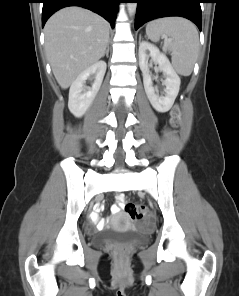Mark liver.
Here are the masks:
<instances>
[{
  "label": "liver",
  "instance_id": "6515ba94",
  "mask_svg": "<svg viewBox=\"0 0 239 296\" xmlns=\"http://www.w3.org/2000/svg\"><path fill=\"white\" fill-rule=\"evenodd\" d=\"M109 30L104 18L81 7H67L50 17L44 27L45 51L61 88L67 89L104 55Z\"/></svg>",
  "mask_w": 239,
  "mask_h": 296
}]
</instances>
